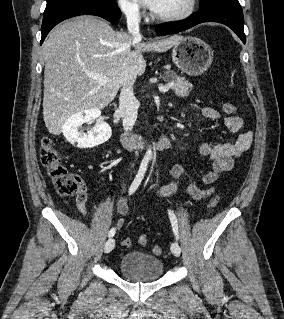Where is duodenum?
Returning <instances> with one entry per match:
<instances>
[{"label": "duodenum", "instance_id": "obj_1", "mask_svg": "<svg viewBox=\"0 0 284 319\" xmlns=\"http://www.w3.org/2000/svg\"><path fill=\"white\" fill-rule=\"evenodd\" d=\"M122 142L129 148L152 147L155 150H167L171 147V139L168 135H162L158 141H150L135 133H124Z\"/></svg>", "mask_w": 284, "mask_h": 319}]
</instances>
